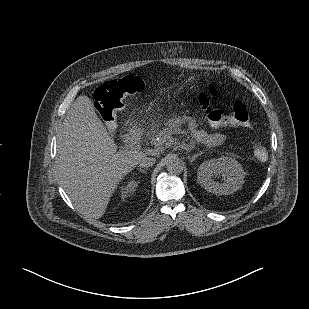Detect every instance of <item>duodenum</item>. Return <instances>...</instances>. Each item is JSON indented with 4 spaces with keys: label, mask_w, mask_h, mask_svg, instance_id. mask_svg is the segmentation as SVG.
<instances>
[{
    "label": "duodenum",
    "mask_w": 309,
    "mask_h": 309,
    "mask_svg": "<svg viewBox=\"0 0 309 309\" xmlns=\"http://www.w3.org/2000/svg\"><path fill=\"white\" fill-rule=\"evenodd\" d=\"M144 134L145 130L143 127L137 125L130 127L126 135L127 145L134 146L142 139Z\"/></svg>",
    "instance_id": "duodenum-1"
}]
</instances>
